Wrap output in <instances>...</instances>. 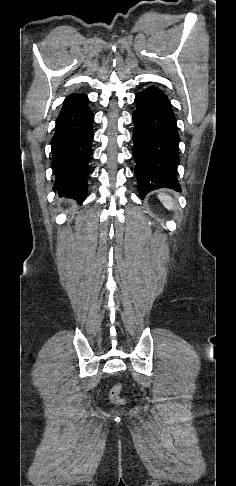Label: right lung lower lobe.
<instances>
[{
  "instance_id": "1",
  "label": "right lung lower lobe",
  "mask_w": 236,
  "mask_h": 486,
  "mask_svg": "<svg viewBox=\"0 0 236 486\" xmlns=\"http://www.w3.org/2000/svg\"><path fill=\"white\" fill-rule=\"evenodd\" d=\"M94 115L88 97H67L56 120L51 140L54 187L59 196L83 202L87 194L88 161L92 155Z\"/></svg>"
}]
</instances>
